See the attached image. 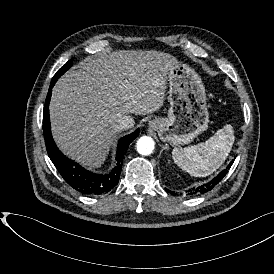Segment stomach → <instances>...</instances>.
I'll return each mask as SVG.
<instances>
[{
  "label": "stomach",
  "instance_id": "obj_1",
  "mask_svg": "<svg viewBox=\"0 0 274 274\" xmlns=\"http://www.w3.org/2000/svg\"><path fill=\"white\" fill-rule=\"evenodd\" d=\"M168 80V116L154 118L148 125L157 131L160 140L180 148L207 130V97L201 77L187 64H174L169 69Z\"/></svg>",
  "mask_w": 274,
  "mask_h": 274
}]
</instances>
